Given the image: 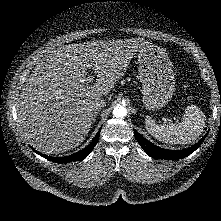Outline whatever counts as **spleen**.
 <instances>
[{
    "instance_id": "1",
    "label": "spleen",
    "mask_w": 221,
    "mask_h": 221,
    "mask_svg": "<svg viewBox=\"0 0 221 221\" xmlns=\"http://www.w3.org/2000/svg\"><path fill=\"white\" fill-rule=\"evenodd\" d=\"M205 114L196 105H189L185 109L183 118L178 124H156L147 116L145 127L157 140L168 144H191L203 132L205 127Z\"/></svg>"
}]
</instances>
